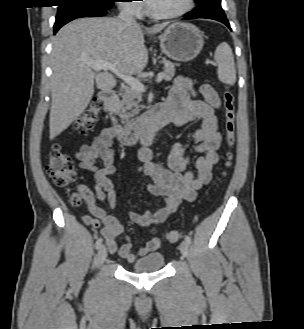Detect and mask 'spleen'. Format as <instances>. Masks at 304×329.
Here are the masks:
<instances>
[{
  "mask_svg": "<svg viewBox=\"0 0 304 329\" xmlns=\"http://www.w3.org/2000/svg\"><path fill=\"white\" fill-rule=\"evenodd\" d=\"M215 60L218 64V78L221 82L234 85L236 70L232 49L227 43H221L215 51Z\"/></svg>",
  "mask_w": 304,
  "mask_h": 329,
  "instance_id": "3e777b00",
  "label": "spleen"
}]
</instances>
